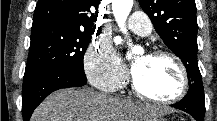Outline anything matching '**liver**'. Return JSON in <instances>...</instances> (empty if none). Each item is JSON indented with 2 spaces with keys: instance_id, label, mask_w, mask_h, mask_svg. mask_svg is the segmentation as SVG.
<instances>
[{
  "instance_id": "1",
  "label": "liver",
  "mask_w": 217,
  "mask_h": 121,
  "mask_svg": "<svg viewBox=\"0 0 217 121\" xmlns=\"http://www.w3.org/2000/svg\"><path fill=\"white\" fill-rule=\"evenodd\" d=\"M156 108L130 99L67 88L50 94L33 112L31 121H153Z\"/></svg>"
}]
</instances>
